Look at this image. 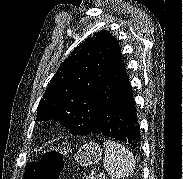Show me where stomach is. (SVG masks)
I'll list each match as a JSON object with an SVG mask.
<instances>
[{
	"label": "stomach",
	"mask_w": 183,
	"mask_h": 179,
	"mask_svg": "<svg viewBox=\"0 0 183 179\" xmlns=\"http://www.w3.org/2000/svg\"><path fill=\"white\" fill-rule=\"evenodd\" d=\"M102 148L97 143H85L79 148L74 158L81 166H89L101 160Z\"/></svg>",
	"instance_id": "stomach-1"
}]
</instances>
